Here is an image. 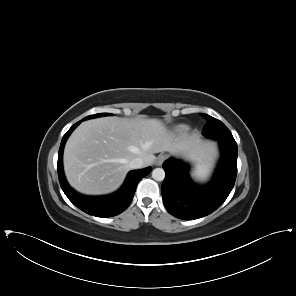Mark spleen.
Listing matches in <instances>:
<instances>
[{
  "instance_id": "1",
  "label": "spleen",
  "mask_w": 296,
  "mask_h": 296,
  "mask_svg": "<svg viewBox=\"0 0 296 296\" xmlns=\"http://www.w3.org/2000/svg\"><path fill=\"white\" fill-rule=\"evenodd\" d=\"M212 164L210 161L198 163L191 172L192 178L196 181H205L211 173Z\"/></svg>"
}]
</instances>
